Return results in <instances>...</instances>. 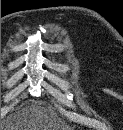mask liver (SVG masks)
Masks as SVG:
<instances>
[{
  "mask_svg": "<svg viewBox=\"0 0 123 130\" xmlns=\"http://www.w3.org/2000/svg\"><path fill=\"white\" fill-rule=\"evenodd\" d=\"M61 120L51 110L39 105L26 106L2 121L3 130H64Z\"/></svg>",
  "mask_w": 123,
  "mask_h": 130,
  "instance_id": "liver-1",
  "label": "liver"
}]
</instances>
